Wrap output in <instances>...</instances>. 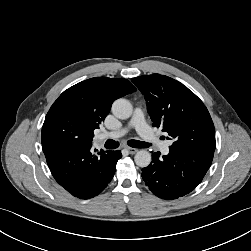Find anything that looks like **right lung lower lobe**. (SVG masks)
Returning <instances> with one entry per match:
<instances>
[{
	"instance_id": "1",
	"label": "right lung lower lobe",
	"mask_w": 251,
	"mask_h": 251,
	"mask_svg": "<svg viewBox=\"0 0 251 251\" xmlns=\"http://www.w3.org/2000/svg\"><path fill=\"white\" fill-rule=\"evenodd\" d=\"M91 145L43 146L49 169L55 180L73 196L88 199L101 193L112 180L121 151L94 154Z\"/></svg>"
}]
</instances>
